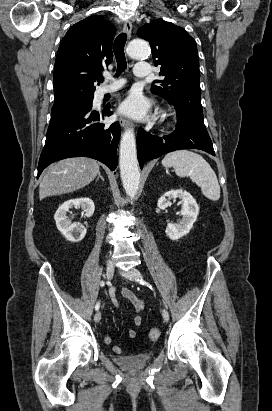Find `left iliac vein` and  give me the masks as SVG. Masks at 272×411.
Here are the masks:
<instances>
[{
  "label": "left iliac vein",
  "instance_id": "left-iliac-vein-1",
  "mask_svg": "<svg viewBox=\"0 0 272 411\" xmlns=\"http://www.w3.org/2000/svg\"><path fill=\"white\" fill-rule=\"evenodd\" d=\"M120 274L124 276L125 278H128L130 280H135V281H137L138 279L140 280L142 278L141 273L135 268H130L127 271H121ZM162 317L165 322L169 321L170 316L166 308L162 309Z\"/></svg>",
  "mask_w": 272,
  "mask_h": 411
}]
</instances>
